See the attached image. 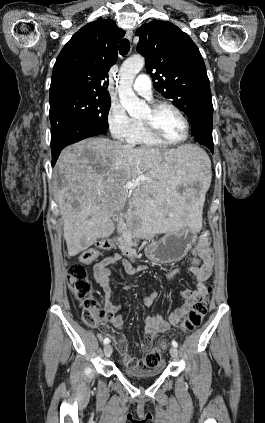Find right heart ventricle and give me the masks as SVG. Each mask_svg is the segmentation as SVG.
<instances>
[{
    "label": "right heart ventricle",
    "mask_w": 265,
    "mask_h": 423,
    "mask_svg": "<svg viewBox=\"0 0 265 423\" xmlns=\"http://www.w3.org/2000/svg\"><path fill=\"white\" fill-rule=\"evenodd\" d=\"M127 142L131 145H136L142 148H156L165 145L149 135L144 129L142 123L138 120L134 121L133 129Z\"/></svg>",
    "instance_id": "e07e8e85"
}]
</instances>
